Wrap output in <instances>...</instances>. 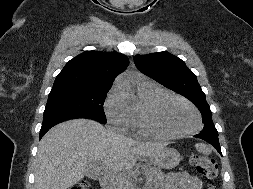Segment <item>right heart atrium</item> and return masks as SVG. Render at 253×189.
Returning <instances> with one entry per match:
<instances>
[{"mask_svg":"<svg viewBox=\"0 0 253 189\" xmlns=\"http://www.w3.org/2000/svg\"><path fill=\"white\" fill-rule=\"evenodd\" d=\"M104 110L110 124L120 129H126L130 126L129 105L117 87L112 88L107 94Z\"/></svg>","mask_w":253,"mask_h":189,"instance_id":"d8ad5b80","label":"right heart atrium"}]
</instances>
